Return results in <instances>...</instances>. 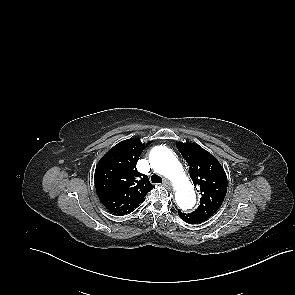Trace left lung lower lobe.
<instances>
[{"label": "left lung lower lobe", "instance_id": "1", "mask_svg": "<svg viewBox=\"0 0 295 295\" xmlns=\"http://www.w3.org/2000/svg\"><path fill=\"white\" fill-rule=\"evenodd\" d=\"M178 214L182 220H184L187 223H191V224H198V223L206 221L209 218L206 216L196 215L193 213H189V214L182 213L180 210H178Z\"/></svg>", "mask_w": 295, "mask_h": 295}]
</instances>
